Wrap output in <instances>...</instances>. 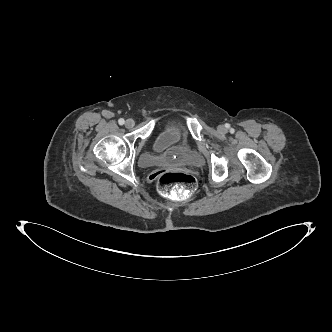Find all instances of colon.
<instances>
[{
  "instance_id": "5ec220e1",
  "label": "colon",
  "mask_w": 332,
  "mask_h": 332,
  "mask_svg": "<svg viewBox=\"0 0 332 332\" xmlns=\"http://www.w3.org/2000/svg\"><path fill=\"white\" fill-rule=\"evenodd\" d=\"M156 187L162 195L175 199L190 197L197 188L195 177L187 172L161 171L153 175Z\"/></svg>"
}]
</instances>
